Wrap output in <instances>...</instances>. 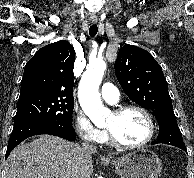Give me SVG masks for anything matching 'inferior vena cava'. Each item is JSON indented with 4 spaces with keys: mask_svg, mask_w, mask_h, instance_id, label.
I'll return each instance as SVG.
<instances>
[{
    "mask_svg": "<svg viewBox=\"0 0 194 178\" xmlns=\"http://www.w3.org/2000/svg\"><path fill=\"white\" fill-rule=\"evenodd\" d=\"M82 150H83L84 153L90 154V155H91L92 153L96 152L95 146L89 144L88 142H87V143H83V145H82Z\"/></svg>",
    "mask_w": 194,
    "mask_h": 178,
    "instance_id": "1",
    "label": "inferior vena cava"
}]
</instances>
